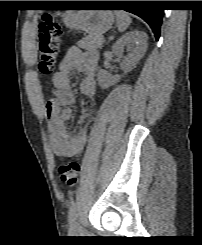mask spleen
Here are the masks:
<instances>
[{"label": "spleen", "instance_id": "1", "mask_svg": "<svg viewBox=\"0 0 202 245\" xmlns=\"http://www.w3.org/2000/svg\"><path fill=\"white\" fill-rule=\"evenodd\" d=\"M115 15L119 32H124L132 22L131 18L125 11H115Z\"/></svg>", "mask_w": 202, "mask_h": 245}]
</instances>
